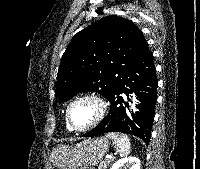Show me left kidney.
Returning a JSON list of instances; mask_svg holds the SVG:
<instances>
[{"label":"left kidney","mask_w":200,"mask_h":169,"mask_svg":"<svg viewBox=\"0 0 200 169\" xmlns=\"http://www.w3.org/2000/svg\"><path fill=\"white\" fill-rule=\"evenodd\" d=\"M140 160L137 157H125L117 160L110 169H140Z\"/></svg>","instance_id":"obj_1"}]
</instances>
